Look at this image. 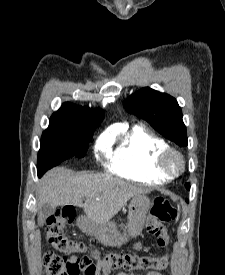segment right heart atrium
<instances>
[{"label":"right heart atrium","mask_w":225,"mask_h":275,"mask_svg":"<svg viewBox=\"0 0 225 275\" xmlns=\"http://www.w3.org/2000/svg\"><path fill=\"white\" fill-rule=\"evenodd\" d=\"M111 136L108 134L102 135L98 138L95 145L96 157L100 158L103 154H108L112 145Z\"/></svg>","instance_id":"right-heart-atrium-1"}]
</instances>
